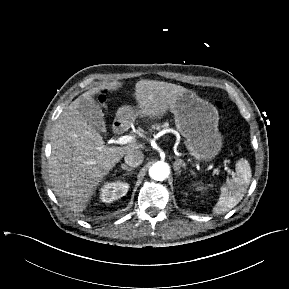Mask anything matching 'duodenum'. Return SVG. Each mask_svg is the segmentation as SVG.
I'll list each match as a JSON object with an SVG mask.
<instances>
[{
    "label": "duodenum",
    "instance_id": "obj_1",
    "mask_svg": "<svg viewBox=\"0 0 289 289\" xmlns=\"http://www.w3.org/2000/svg\"><path fill=\"white\" fill-rule=\"evenodd\" d=\"M128 128H129V121L124 118L118 119L117 121H115L113 125V130L116 134H122L126 132Z\"/></svg>",
    "mask_w": 289,
    "mask_h": 289
}]
</instances>
